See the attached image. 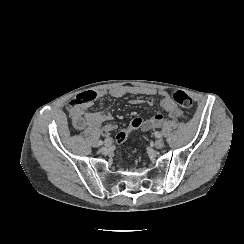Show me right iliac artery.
Here are the masks:
<instances>
[{"label":"right iliac artery","instance_id":"1","mask_svg":"<svg viewBox=\"0 0 244 244\" xmlns=\"http://www.w3.org/2000/svg\"><path fill=\"white\" fill-rule=\"evenodd\" d=\"M98 144H99V145H103V142L100 140V141L98 142Z\"/></svg>","mask_w":244,"mask_h":244}]
</instances>
